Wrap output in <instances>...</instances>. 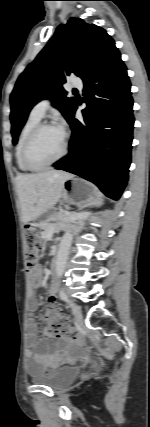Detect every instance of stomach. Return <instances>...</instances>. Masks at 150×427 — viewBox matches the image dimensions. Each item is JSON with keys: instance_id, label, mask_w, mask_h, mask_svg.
Here are the masks:
<instances>
[{"instance_id": "obj_1", "label": "stomach", "mask_w": 150, "mask_h": 427, "mask_svg": "<svg viewBox=\"0 0 150 427\" xmlns=\"http://www.w3.org/2000/svg\"><path fill=\"white\" fill-rule=\"evenodd\" d=\"M62 199L69 204L91 205L99 200V194L90 183L72 177L64 182Z\"/></svg>"}]
</instances>
